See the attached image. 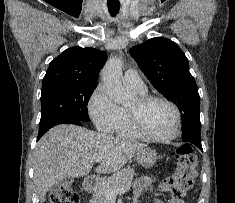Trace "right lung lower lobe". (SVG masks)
Segmentation results:
<instances>
[{"mask_svg":"<svg viewBox=\"0 0 235 203\" xmlns=\"http://www.w3.org/2000/svg\"><path fill=\"white\" fill-rule=\"evenodd\" d=\"M75 124V125H79L82 126V122L78 121V120H73V119H60V120H54L51 121L45 125L39 126V133H38V138L37 140H39L50 128L58 125V124Z\"/></svg>","mask_w":235,"mask_h":203,"instance_id":"obj_1","label":"right lung lower lobe"}]
</instances>
